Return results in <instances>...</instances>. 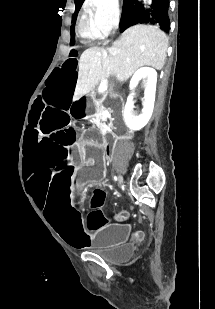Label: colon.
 Returning <instances> with one entry per match:
<instances>
[{
    "label": "colon",
    "instance_id": "obj_1",
    "mask_svg": "<svg viewBox=\"0 0 215 309\" xmlns=\"http://www.w3.org/2000/svg\"><path fill=\"white\" fill-rule=\"evenodd\" d=\"M101 219V214L100 213H96L92 216V222L93 224H95L96 222H98Z\"/></svg>",
    "mask_w": 215,
    "mask_h": 309
}]
</instances>
